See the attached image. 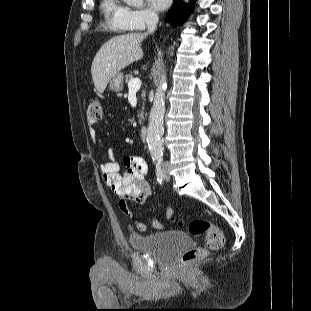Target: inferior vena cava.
<instances>
[{
	"mask_svg": "<svg viewBox=\"0 0 311 311\" xmlns=\"http://www.w3.org/2000/svg\"><path fill=\"white\" fill-rule=\"evenodd\" d=\"M157 24H158V16L155 13H149L147 18H146V25H147V34L153 33L156 28H157ZM165 165L167 163H164Z\"/></svg>",
	"mask_w": 311,
	"mask_h": 311,
	"instance_id": "inferior-vena-cava-1",
	"label": "inferior vena cava"
}]
</instances>
